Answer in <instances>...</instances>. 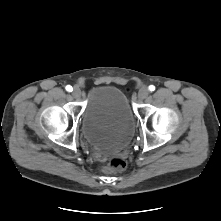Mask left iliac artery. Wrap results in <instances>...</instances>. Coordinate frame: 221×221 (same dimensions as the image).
<instances>
[{
	"label": "left iliac artery",
	"mask_w": 221,
	"mask_h": 221,
	"mask_svg": "<svg viewBox=\"0 0 221 221\" xmlns=\"http://www.w3.org/2000/svg\"><path fill=\"white\" fill-rule=\"evenodd\" d=\"M149 90H150V91H154V90H155V86H154V85H150V86H149Z\"/></svg>",
	"instance_id": "obj_1"
}]
</instances>
